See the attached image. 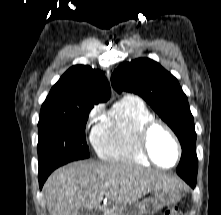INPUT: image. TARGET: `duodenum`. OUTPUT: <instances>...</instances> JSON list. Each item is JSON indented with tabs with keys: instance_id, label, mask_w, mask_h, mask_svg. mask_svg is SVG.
I'll return each instance as SVG.
<instances>
[{
	"instance_id": "duodenum-1",
	"label": "duodenum",
	"mask_w": 221,
	"mask_h": 215,
	"mask_svg": "<svg viewBox=\"0 0 221 215\" xmlns=\"http://www.w3.org/2000/svg\"><path fill=\"white\" fill-rule=\"evenodd\" d=\"M106 210V207L104 205H100L94 215H103L104 211Z\"/></svg>"
}]
</instances>
